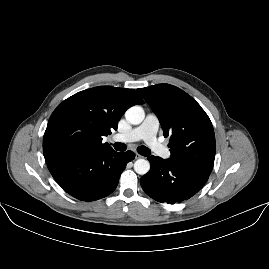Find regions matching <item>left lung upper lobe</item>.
<instances>
[{
    "mask_svg": "<svg viewBox=\"0 0 269 269\" xmlns=\"http://www.w3.org/2000/svg\"><path fill=\"white\" fill-rule=\"evenodd\" d=\"M157 115L164 136H170L171 162L211 173L215 158L212 123L186 92L170 84L137 89Z\"/></svg>",
    "mask_w": 269,
    "mask_h": 269,
    "instance_id": "obj_1",
    "label": "left lung upper lobe"
}]
</instances>
